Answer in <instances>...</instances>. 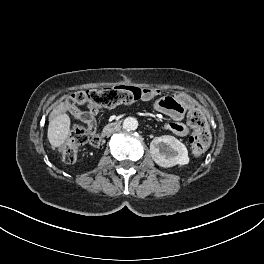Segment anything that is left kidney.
Instances as JSON below:
<instances>
[{
  "label": "left kidney",
  "mask_w": 264,
  "mask_h": 264,
  "mask_svg": "<svg viewBox=\"0 0 264 264\" xmlns=\"http://www.w3.org/2000/svg\"><path fill=\"white\" fill-rule=\"evenodd\" d=\"M150 153L155 163L161 167L181 166L189 163L186 146L174 136L155 137L150 143Z\"/></svg>",
  "instance_id": "left-kidney-1"
}]
</instances>
